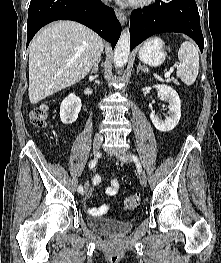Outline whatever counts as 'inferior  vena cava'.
<instances>
[{
  "label": "inferior vena cava",
  "mask_w": 221,
  "mask_h": 263,
  "mask_svg": "<svg viewBox=\"0 0 221 263\" xmlns=\"http://www.w3.org/2000/svg\"><path fill=\"white\" fill-rule=\"evenodd\" d=\"M100 45H101V46L103 45V42H102V40H100Z\"/></svg>",
  "instance_id": "1"
}]
</instances>
